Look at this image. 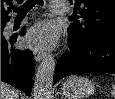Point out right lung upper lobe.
<instances>
[{
	"label": "right lung upper lobe",
	"mask_w": 115,
	"mask_h": 99,
	"mask_svg": "<svg viewBox=\"0 0 115 99\" xmlns=\"http://www.w3.org/2000/svg\"><path fill=\"white\" fill-rule=\"evenodd\" d=\"M12 7L13 4L10 0H1V23H6L10 20L8 13Z\"/></svg>",
	"instance_id": "right-lung-upper-lobe-1"
}]
</instances>
